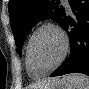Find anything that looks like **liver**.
I'll return each instance as SVG.
<instances>
[{
    "mask_svg": "<svg viewBox=\"0 0 89 89\" xmlns=\"http://www.w3.org/2000/svg\"><path fill=\"white\" fill-rule=\"evenodd\" d=\"M58 82H59L58 78H48V79H45V80L41 81L40 83L36 84L35 87H37L38 89H44L45 87H48V86L58 83Z\"/></svg>",
    "mask_w": 89,
    "mask_h": 89,
    "instance_id": "obj_1",
    "label": "liver"
}]
</instances>
